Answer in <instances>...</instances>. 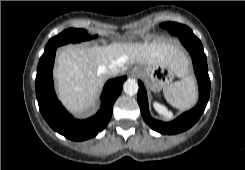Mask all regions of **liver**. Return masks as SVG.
<instances>
[{"label":"liver","instance_id":"obj_1","mask_svg":"<svg viewBox=\"0 0 245 170\" xmlns=\"http://www.w3.org/2000/svg\"><path fill=\"white\" fill-rule=\"evenodd\" d=\"M170 65L178 77L188 73L187 60L172 42L153 40L107 46L69 45L57 54L54 77L64 106L76 115L91 110L107 79L103 68L115 64L124 73L129 64Z\"/></svg>","mask_w":245,"mask_h":170}]
</instances>
